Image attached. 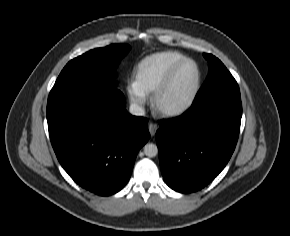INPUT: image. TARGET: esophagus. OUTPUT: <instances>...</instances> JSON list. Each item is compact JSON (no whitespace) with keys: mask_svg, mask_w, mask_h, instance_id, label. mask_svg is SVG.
Segmentation results:
<instances>
[{"mask_svg":"<svg viewBox=\"0 0 290 236\" xmlns=\"http://www.w3.org/2000/svg\"><path fill=\"white\" fill-rule=\"evenodd\" d=\"M148 129H149L150 135L154 136L156 131H157V129H158V126H157V124H155L153 122H150L149 125H148Z\"/></svg>","mask_w":290,"mask_h":236,"instance_id":"obj_1","label":"esophagus"}]
</instances>
